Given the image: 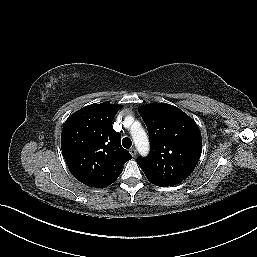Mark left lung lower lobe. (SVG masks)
Here are the masks:
<instances>
[{
	"instance_id": "obj_1",
	"label": "left lung lower lobe",
	"mask_w": 257,
	"mask_h": 257,
	"mask_svg": "<svg viewBox=\"0 0 257 257\" xmlns=\"http://www.w3.org/2000/svg\"><path fill=\"white\" fill-rule=\"evenodd\" d=\"M177 183H170V184H165V185H159V184H156L157 186H171V185H175Z\"/></svg>"
}]
</instances>
